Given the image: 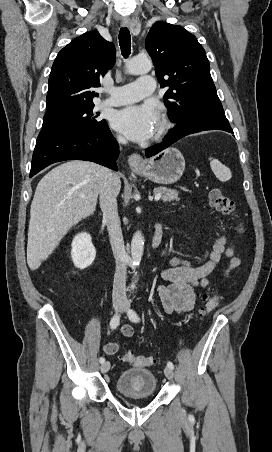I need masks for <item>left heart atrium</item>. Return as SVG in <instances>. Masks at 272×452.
Returning <instances> with one entry per match:
<instances>
[{"label": "left heart atrium", "instance_id": "1", "mask_svg": "<svg viewBox=\"0 0 272 452\" xmlns=\"http://www.w3.org/2000/svg\"><path fill=\"white\" fill-rule=\"evenodd\" d=\"M158 123V113L150 104L132 105L119 110L114 127L133 141H144L152 136Z\"/></svg>", "mask_w": 272, "mask_h": 452}]
</instances>
